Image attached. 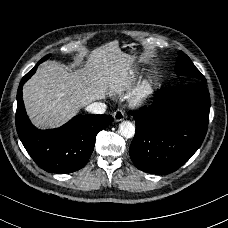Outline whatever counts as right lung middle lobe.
Here are the masks:
<instances>
[{"instance_id": "1", "label": "right lung middle lobe", "mask_w": 228, "mask_h": 228, "mask_svg": "<svg viewBox=\"0 0 228 228\" xmlns=\"http://www.w3.org/2000/svg\"><path fill=\"white\" fill-rule=\"evenodd\" d=\"M50 57V55H47V56H45L43 59H41L39 62L41 63V62H43L44 60H46L47 58H49Z\"/></svg>"}]
</instances>
